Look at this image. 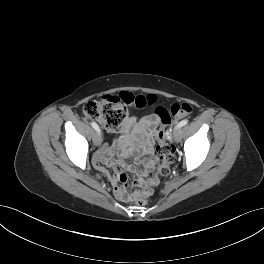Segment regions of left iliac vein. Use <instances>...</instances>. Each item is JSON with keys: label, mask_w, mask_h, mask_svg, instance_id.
Returning a JSON list of instances; mask_svg holds the SVG:
<instances>
[{"label": "left iliac vein", "mask_w": 264, "mask_h": 264, "mask_svg": "<svg viewBox=\"0 0 264 264\" xmlns=\"http://www.w3.org/2000/svg\"><path fill=\"white\" fill-rule=\"evenodd\" d=\"M173 137L176 142H179L181 140V128L176 127L173 132Z\"/></svg>", "instance_id": "obj_1"}]
</instances>
